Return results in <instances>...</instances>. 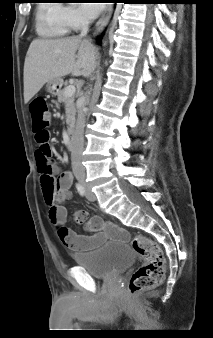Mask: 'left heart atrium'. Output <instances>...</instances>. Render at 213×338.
I'll list each match as a JSON object with an SVG mask.
<instances>
[{
	"mask_svg": "<svg viewBox=\"0 0 213 338\" xmlns=\"http://www.w3.org/2000/svg\"><path fill=\"white\" fill-rule=\"evenodd\" d=\"M86 1L91 2L92 0H86ZM82 7L86 15L90 18L96 17L101 10L100 3H83Z\"/></svg>",
	"mask_w": 213,
	"mask_h": 338,
	"instance_id": "left-heart-atrium-1",
	"label": "left heart atrium"
}]
</instances>
